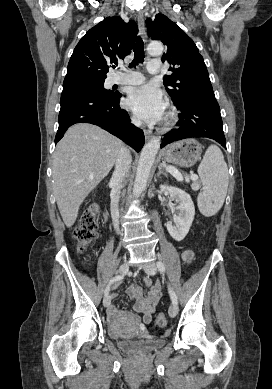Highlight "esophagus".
I'll return each mask as SVG.
<instances>
[{
    "label": "esophagus",
    "instance_id": "1",
    "mask_svg": "<svg viewBox=\"0 0 272 389\" xmlns=\"http://www.w3.org/2000/svg\"><path fill=\"white\" fill-rule=\"evenodd\" d=\"M137 21H138L139 34L142 37V39L144 41H146L147 40V35H146V29H145V24H144V15H143L142 12H140L138 14ZM144 134H145V139L146 140H149L152 137V131L151 130H145Z\"/></svg>",
    "mask_w": 272,
    "mask_h": 389
}]
</instances>
